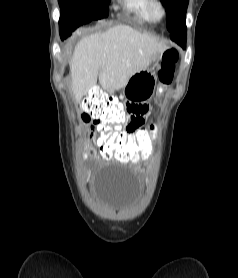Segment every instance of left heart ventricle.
I'll return each mask as SVG.
<instances>
[{"instance_id":"1","label":"left heart ventricle","mask_w":238,"mask_h":278,"mask_svg":"<svg viewBox=\"0 0 238 278\" xmlns=\"http://www.w3.org/2000/svg\"><path fill=\"white\" fill-rule=\"evenodd\" d=\"M154 12L157 16H159L161 14V11L158 7H155Z\"/></svg>"}]
</instances>
